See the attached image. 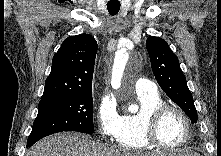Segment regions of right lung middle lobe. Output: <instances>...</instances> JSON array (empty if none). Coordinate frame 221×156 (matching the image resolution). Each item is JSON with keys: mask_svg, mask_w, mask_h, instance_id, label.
<instances>
[{"mask_svg": "<svg viewBox=\"0 0 221 156\" xmlns=\"http://www.w3.org/2000/svg\"><path fill=\"white\" fill-rule=\"evenodd\" d=\"M92 90L67 96L42 98L27 146L62 131L93 133Z\"/></svg>", "mask_w": 221, "mask_h": 156, "instance_id": "obj_1", "label": "right lung middle lobe"}]
</instances>
